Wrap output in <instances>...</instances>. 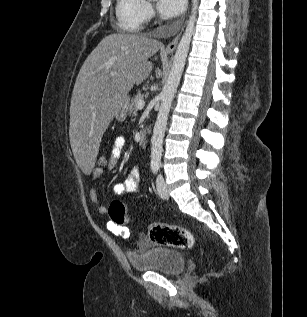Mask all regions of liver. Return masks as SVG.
<instances>
[{
	"instance_id": "obj_1",
	"label": "liver",
	"mask_w": 307,
	"mask_h": 317,
	"mask_svg": "<svg viewBox=\"0 0 307 317\" xmlns=\"http://www.w3.org/2000/svg\"><path fill=\"white\" fill-rule=\"evenodd\" d=\"M161 44L142 34L113 33L83 63L70 105V144L83 175H92L101 138L133 86L151 73Z\"/></svg>"
}]
</instances>
